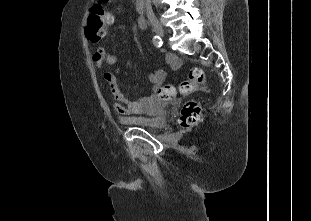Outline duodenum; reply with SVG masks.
I'll return each mask as SVG.
<instances>
[{
  "mask_svg": "<svg viewBox=\"0 0 311 221\" xmlns=\"http://www.w3.org/2000/svg\"><path fill=\"white\" fill-rule=\"evenodd\" d=\"M146 1H147V0H134L136 10H138V11L144 10ZM138 26H139L140 28H143V27L145 28L144 22H139V23H138ZM144 28H143V29H144Z\"/></svg>",
  "mask_w": 311,
  "mask_h": 221,
  "instance_id": "obj_1",
  "label": "duodenum"
}]
</instances>
